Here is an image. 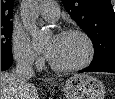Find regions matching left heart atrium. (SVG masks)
<instances>
[{
  "mask_svg": "<svg viewBox=\"0 0 115 99\" xmlns=\"http://www.w3.org/2000/svg\"><path fill=\"white\" fill-rule=\"evenodd\" d=\"M58 35L57 36H54L52 38V41L47 45L46 49H45V54L46 56L50 59L52 53H53V50H54V47H55V44L58 40Z\"/></svg>",
  "mask_w": 115,
  "mask_h": 99,
  "instance_id": "39dd6f15",
  "label": "left heart atrium"
}]
</instances>
